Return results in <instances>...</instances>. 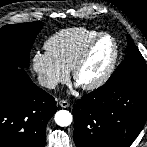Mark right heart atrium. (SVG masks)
<instances>
[{
    "instance_id": "obj_1",
    "label": "right heart atrium",
    "mask_w": 147,
    "mask_h": 147,
    "mask_svg": "<svg viewBox=\"0 0 147 147\" xmlns=\"http://www.w3.org/2000/svg\"><path fill=\"white\" fill-rule=\"evenodd\" d=\"M31 67L40 85L47 89H55L69 77V70L47 51L34 53L31 58Z\"/></svg>"
}]
</instances>
